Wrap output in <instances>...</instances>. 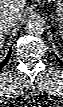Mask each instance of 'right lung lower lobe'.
Returning <instances> with one entry per match:
<instances>
[{"instance_id":"98d812e1","label":"right lung lower lobe","mask_w":63,"mask_h":107,"mask_svg":"<svg viewBox=\"0 0 63 107\" xmlns=\"http://www.w3.org/2000/svg\"><path fill=\"white\" fill-rule=\"evenodd\" d=\"M10 55H11V50H9L7 57L3 61L0 62V70L8 62Z\"/></svg>"}]
</instances>
